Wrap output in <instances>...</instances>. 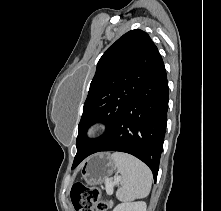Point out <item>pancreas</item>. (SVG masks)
<instances>
[{
	"mask_svg": "<svg viewBox=\"0 0 221 211\" xmlns=\"http://www.w3.org/2000/svg\"><path fill=\"white\" fill-rule=\"evenodd\" d=\"M113 205V202L111 201L110 203H109V206L111 207Z\"/></svg>",
	"mask_w": 221,
	"mask_h": 211,
	"instance_id": "1",
	"label": "pancreas"
}]
</instances>
